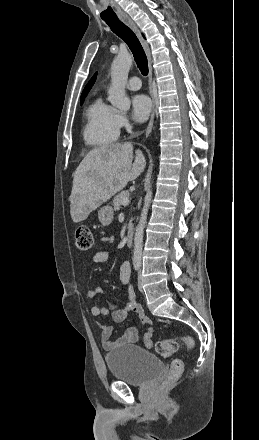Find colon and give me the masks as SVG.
<instances>
[{"instance_id":"5ec220e1","label":"colon","mask_w":259,"mask_h":440,"mask_svg":"<svg viewBox=\"0 0 259 440\" xmlns=\"http://www.w3.org/2000/svg\"><path fill=\"white\" fill-rule=\"evenodd\" d=\"M75 243L78 249L86 251L91 249L93 245V234L86 226H80L75 232ZM182 346L193 348L194 342L191 337L183 336L180 338L162 339L157 342L156 350L163 357H170L175 354ZM183 372V361L174 359L171 362L166 382L172 383L176 381Z\"/></svg>"}]
</instances>
